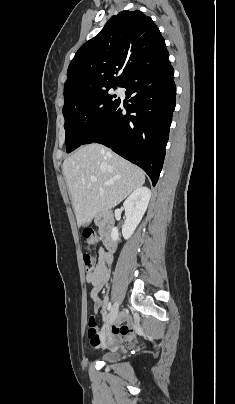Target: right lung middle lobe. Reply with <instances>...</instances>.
Masks as SVG:
<instances>
[{
    "instance_id": "obj_1",
    "label": "right lung middle lobe",
    "mask_w": 235,
    "mask_h": 404,
    "mask_svg": "<svg viewBox=\"0 0 235 404\" xmlns=\"http://www.w3.org/2000/svg\"><path fill=\"white\" fill-rule=\"evenodd\" d=\"M98 90L78 97L64 104L65 144L70 153L82 145L90 133L109 115L120 99L112 93L111 88Z\"/></svg>"
}]
</instances>
